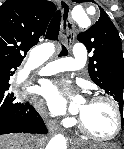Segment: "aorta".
<instances>
[{
    "label": "aorta",
    "instance_id": "aorta-1",
    "mask_svg": "<svg viewBox=\"0 0 124 149\" xmlns=\"http://www.w3.org/2000/svg\"><path fill=\"white\" fill-rule=\"evenodd\" d=\"M72 20L81 28H86L90 25V20L83 10H74L72 12ZM26 73L21 72L19 77L22 79ZM46 149H67L66 139L63 135H55L47 144Z\"/></svg>",
    "mask_w": 124,
    "mask_h": 149
}]
</instances>
